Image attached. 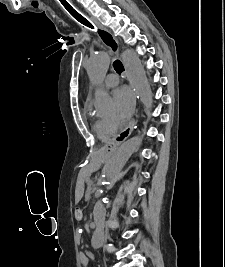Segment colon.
<instances>
[{"label": "colon", "mask_w": 225, "mask_h": 267, "mask_svg": "<svg viewBox=\"0 0 225 267\" xmlns=\"http://www.w3.org/2000/svg\"><path fill=\"white\" fill-rule=\"evenodd\" d=\"M64 0H60L59 2H60V4H61V6L64 8V10H66L69 14H70V12L73 14V12H72V10H71V8L70 7H72L73 8V6L72 5H70V4H68V3H64L63 2ZM74 9V8H73ZM75 10V9H74ZM74 215H75V219L77 220V221H80L81 219H82V210L81 209H79V208H77L76 210H75V212H74Z\"/></svg>", "instance_id": "colon-1"}]
</instances>
